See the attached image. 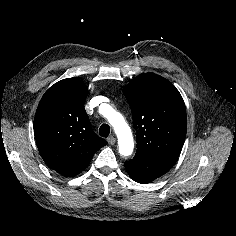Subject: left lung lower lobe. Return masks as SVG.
Here are the masks:
<instances>
[{"label": "left lung lower lobe", "instance_id": "obj_1", "mask_svg": "<svg viewBox=\"0 0 236 236\" xmlns=\"http://www.w3.org/2000/svg\"><path fill=\"white\" fill-rule=\"evenodd\" d=\"M174 164L163 160L135 154L132 160L125 162L129 176L136 182L146 184L167 173Z\"/></svg>", "mask_w": 236, "mask_h": 236}]
</instances>
